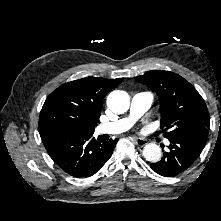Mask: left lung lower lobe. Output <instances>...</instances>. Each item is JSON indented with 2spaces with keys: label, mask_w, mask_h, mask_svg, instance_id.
<instances>
[{
  "label": "left lung lower lobe",
  "mask_w": 221,
  "mask_h": 221,
  "mask_svg": "<svg viewBox=\"0 0 221 221\" xmlns=\"http://www.w3.org/2000/svg\"><path fill=\"white\" fill-rule=\"evenodd\" d=\"M208 133L193 132L177 138L169 139V152L163 158L150 165L156 173L173 177L185 172L199 157L207 140Z\"/></svg>",
  "instance_id": "0a47b994"
}]
</instances>
